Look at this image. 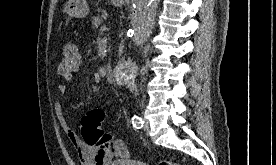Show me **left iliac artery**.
<instances>
[{"mask_svg":"<svg viewBox=\"0 0 276 165\" xmlns=\"http://www.w3.org/2000/svg\"><path fill=\"white\" fill-rule=\"evenodd\" d=\"M143 120L141 117L137 116V115H134L132 117V124L135 128L139 129V128H142L143 127Z\"/></svg>","mask_w":276,"mask_h":165,"instance_id":"44dca946","label":"left iliac artery"}]
</instances>
